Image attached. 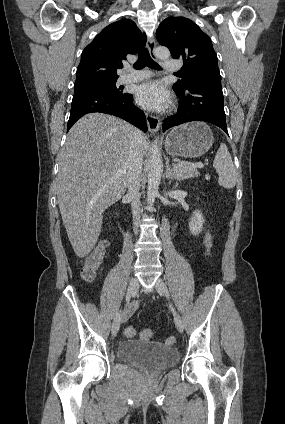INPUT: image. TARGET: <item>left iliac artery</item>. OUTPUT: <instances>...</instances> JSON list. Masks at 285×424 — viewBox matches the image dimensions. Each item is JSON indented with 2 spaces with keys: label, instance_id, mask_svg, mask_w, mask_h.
<instances>
[{
  "label": "left iliac artery",
  "instance_id": "obj_1",
  "mask_svg": "<svg viewBox=\"0 0 285 424\" xmlns=\"http://www.w3.org/2000/svg\"><path fill=\"white\" fill-rule=\"evenodd\" d=\"M172 312H174V309L171 307Z\"/></svg>",
  "mask_w": 285,
  "mask_h": 424
}]
</instances>
